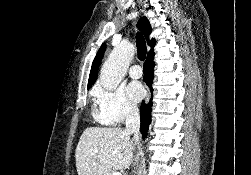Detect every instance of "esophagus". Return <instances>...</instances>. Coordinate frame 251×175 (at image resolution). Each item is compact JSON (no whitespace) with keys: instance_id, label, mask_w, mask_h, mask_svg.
Listing matches in <instances>:
<instances>
[{"instance_id":"esophagus-1","label":"esophagus","mask_w":251,"mask_h":175,"mask_svg":"<svg viewBox=\"0 0 251 175\" xmlns=\"http://www.w3.org/2000/svg\"><path fill=\"white\" fill-rule=\"evenodd\" d=\"M150 96H151L150 90L147 88V95H146V98H145V103H148V101L150 99Z\"/></svg>"}]
</instances>
